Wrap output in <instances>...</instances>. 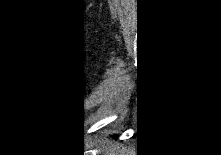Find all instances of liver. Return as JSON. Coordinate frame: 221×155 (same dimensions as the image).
Wrapping results in <instances>:
<instances>
[{
	"instance_id": "1",
	"label": "liver",
	"mask_w": 221,
	"mask_h": 155,
	"mask_svg": "<svg viewBox=\"0 0 221 155\" xmlns=\"http://www.w3.org/2000/svg\"><path fill=\"white\" fill-rule=\"evenodd\" d=\"M96 155H125V150L121 148L120 144H114L111 146H105V143H100L96 145L95 152Z\"/></svg>"
}]
</instances>
